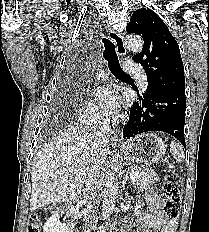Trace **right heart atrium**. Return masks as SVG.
Here are the masks:
<instances>
[{
  "label": "right heart atrium",
  "instance_id": "d8ad5b80",
  "mask_svg": "<svg viewBox=\"0 0 209 232\" xmlns=\"http://www.w3.org/2000/svg\"><path fill=\"white\" fill-rule=\"evenodd\" d=\"M79 120L85 126H97L103 123L104 117L93 101H87L79 114Z\"/></svg>",
  "mask_w": 209,
  "mask_h": 232
}]
</instances>
